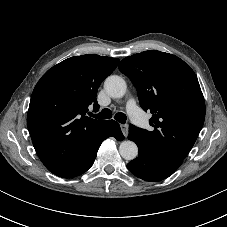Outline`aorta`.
Returning a JSON list of instances; mask_svg holds the SVG:
<instances>
[{
	"label": "aorta",
	"mask_w": 227,
	"mask_h": 227,
	"mask_svg": "<svg viewBox=\"0 0 227 227\" xmlns=\"http://www.w3.org/2000/svg\"><path fill=\"white\" fill-rule=\"evenodd\" d=\"M106 92L113 98H121L125 95L127 85L125 80L117 75L109 76L104 83ZM120 155L126 160H133L138 155L137 145L130 140L121 142L119 146Z\"/></svg>",
	"instance_id": "aorta-1"
}]
</instances>
